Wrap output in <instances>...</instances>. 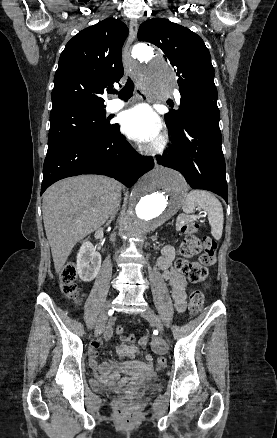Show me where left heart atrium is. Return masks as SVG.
Instances as JSON below:
<instances>
[{"label": "left heart atrium", "instance_id": "1", "mask_svg": "<svg viewBox=\"0 0 277 438\" xmlns=\"http://www.w3.org/2000/svg\"><path fill=\"white\" fill-rule=\"evenodd\" d=\"M120 121L123 133L145 146L155 145L161 137L162 122L147 104L126 111Z\"/></svg>", "mask_w": 277, "mask_h": 438}]
</instances>
